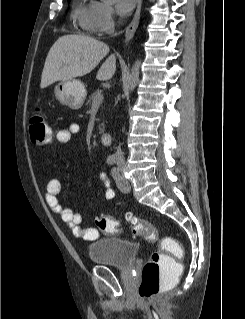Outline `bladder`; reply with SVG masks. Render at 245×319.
Segmentation results:
<instances>
[{
	"label": "bladder",
	"mask_w": 245,
	"mask_h": 319,
	"mask_svg": "<svg viewBox=\"0 0 245 319\" xmlns=\"http://www.w3.org/2000/svg\"><path fill=\"white\" fill-rule=\"evenodd\" d=\"M137 252V243L118 237L96 238L88 246V253L93 263L117 268L131 266Z\"/></svg>",
	"instance_id": "bladder-1"
}]
</instances>
